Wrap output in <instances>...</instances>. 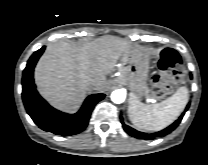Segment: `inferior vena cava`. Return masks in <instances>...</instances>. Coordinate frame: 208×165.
Wrapping results in <instances>:
<instances>
[{
	"label": "inferior vena cava",
	"mask_w": 208,
	"mask_h": 165,
	"mask_svg": "<svg viewBox=\"0 0 208 165\" xmlns=\"http://www.w3.org/2000/svg\"><path fill=\"white\" fill-rule=\"evenodd\" d=\"M88 89H89V90H97V86H96L95 84H90V85L88 86Z\"/></svg>",
	"instance_id": "1"
}]
</instances>
